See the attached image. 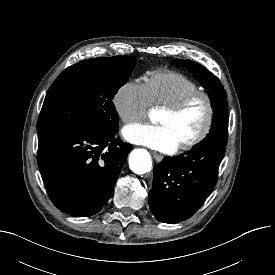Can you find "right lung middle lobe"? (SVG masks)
<instances>
[{
  "mask_svg": "<svg viewBox=\"0 0 275 275\" xmlns=\"http://www.w3.org/2000/svg\"><path fill=\"white\" fill-rule=\"evenodd\" d=\"M134 57H98L65 69L45 97L38 122V138L68 131L119 129L112 102L131 76Z\"/></svg>",
  "mask_w": 275,
  "mask_h": 275,
  "instance_id": "obj_1",
  "label": "right lung middle lobe"
}]
</instances>
